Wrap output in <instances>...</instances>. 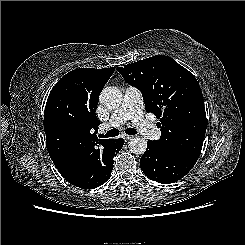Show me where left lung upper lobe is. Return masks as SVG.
Listing matches in <instances>:
<instances>
[{
  "label": "left lung upper lobe",
  "instance_id": "1",
  "mask_svg": "<svg viewBox=\"0 0 245 245\" xmlns=\"http://www.w3.org/2000/svg\"><path fill=\"white\" fill-rule=\"evenodd\" d=\"M142 92L145 109L156 115L164 150L200 155L206 113L199 83L191 72L167 56H153L117 68Z\"/></svg>",
  "mask_w": 245,
  "mask_h": 245
}]
</instances>
